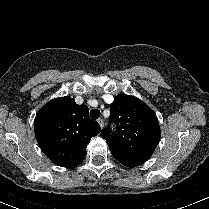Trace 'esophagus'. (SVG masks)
Here are the masks:
<instances>
[{"mask_svg":"<svg viewBox=\"0 0 209 209\" xmlns=\"http://www.w3.org/2000/svg\"><path fill=\"white\" fill-rule=\"evenodd\" d=\"M98 123H99V125H100L101 128L104 127V121H103V119H98Z\"/></svg>","mask_w":209,"mask_h":209,"instance_id":"obj_1","label":"esophagus"}]
</instances>
